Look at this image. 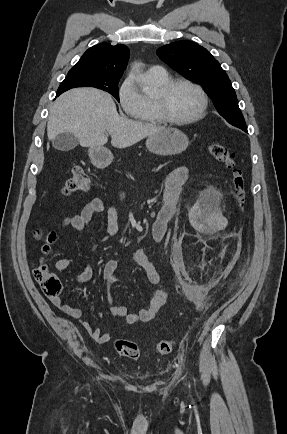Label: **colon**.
Instances as JSON below:
<instances>
[{
	"mask_svg": "<svg viewBox=\"0 0 287 434\" xmlns=\"http://www.w3.org/2000/svg\"><path fill=\"white\" fill-rule=\"evenodd\" d=\"M210 154L219 162L223 163L232 171V195L239 210H242L245 204L246 186L245 177L242 169L237 165L234 153L226 146L213 142L208 146ZM90 187V179L81 167H75L71 176L64 184L63 192L67 195L86 192ZM37 238L43 237L41 252L47 254L50 251L51 245L55 241L54 233H49L43 236L40 231L35 232ZM35 281L40 285L43 293L50 298L59 297L62 292V283L60 279L51 272L48 267L40 261L33 269ZM116 352L124 357L137 360L141 357V349L135 342L118 339L114 342ZM174 347V341L167 339L159 341L155 345V352L158 355L169 354Z\"/></svg>",
	"mask_w": 287,
	"mask_h": 434,
	"instance_id": "1",
	"label": "colon"
}]
</instances>
